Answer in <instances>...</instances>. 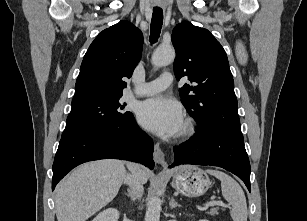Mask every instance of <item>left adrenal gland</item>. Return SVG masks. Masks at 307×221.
<instances>
[{
	"label": "left adrenal gland",
	"instance_id": "left-adrenal-gland-1",
	"mask_svg": "<svg viewBox=\"0 0 307 221\" xmlns=\"http://www.w3.org/2000/svg\"><path fill=\"white\" fill-rule=\"evenodd\" d=\"M169 206H170V209L181 207V205L178 204L173 197L169 201Z\"/></svg>",
	"mask_w": 307,
	"mask_h": 221
}]
</instances>
